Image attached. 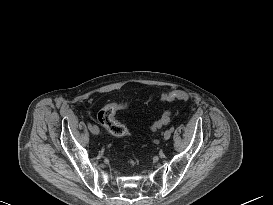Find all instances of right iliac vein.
Wrapping results in <instances>:
<instances>
[{
    "label": "right iliac vein",
    "instance_id": "obj_1",
    "mask_svg": "<svg viewBox=\"0 0 273 205\" xmlns=\"http://www.w3.org/2000/svg\"><path fill=\"white\" fill-rule=\"evenodd\" d=\"M90 131L94 135H98L99 134V128L96 125H92V127L90 128Z\"/></svg>",
    "mask_w": 273,
    "mask_h": 205
}]
</instances>
